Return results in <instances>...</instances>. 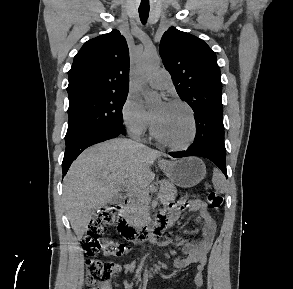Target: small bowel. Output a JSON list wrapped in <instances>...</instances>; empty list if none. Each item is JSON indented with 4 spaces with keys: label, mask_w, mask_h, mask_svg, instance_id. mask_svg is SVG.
I'll return each mask as SVG.
<instances>
[{
    "label": "small bowel",
    "mask_w": 293,
    "mask_h": 289,
    "mask_svg": "<svg viewBox=\"0 0 293 289\" xmlns=\"http://www.w3.org/2000/svg\"><path fill=\"white\" fill-rule=\"evenodd\" d=\"M185 209L196 214L194 220L197 224H203V234L201 239L185 242L182 245L183 256L174 261V267L181 270L191 264H196L194 282L196 289H200L203 285V270L207 262V254L211 250L216 233V222L209 214L207 205L198 199L188 202L180 201L161 214L160 217L166 221L168 227H172ZM135 267L136 264L134 262L127 263L124 265V271L130 273ZM140 289L145 288L140 287Z\"/></svg>",
    "instance_id": "c3829d8e"
}]
</instances>
